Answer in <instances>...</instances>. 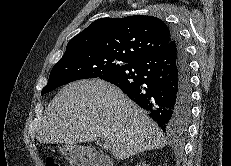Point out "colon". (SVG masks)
Masks as SVG:
<instances>
[{"mask_svg":"<svg viewBox=\"0 0 231 166\" xmlns=\"http://www.w3.org/2000/svg\"><path fill=\"white\" fill-rule=\"evenodd\" d=\"M46 166H60L57 160L53 157L46 158Z\"/></svg>","mask_w":231,"mask_h":166,"instance_id":"colon-1","label":"colon"}]
</instances>
